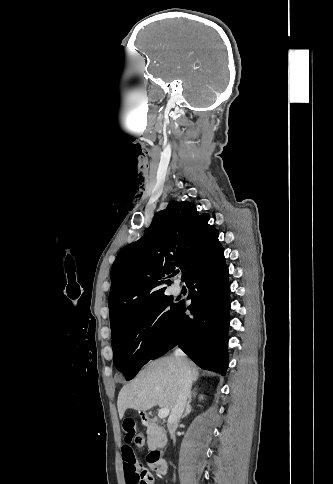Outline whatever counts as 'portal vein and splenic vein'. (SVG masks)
Listing matches in <instances>:
<instances>
[{
	"label": "portal vein and splenic vein",
	"mask_w": 333,
	"mask_h": 484,
	"mask_svg": "<svg viewBox=\"0 0 333 484\" xmlns=\"http://www.w3.org/2000/svg\"><path fill=\"white\" fill-rule=\"evenodd\" d=\"M169 408H162L158 411V417L159 418H165L169 415Z\"/></svg>",
	"instance_id": "1"
}]
</instances>
